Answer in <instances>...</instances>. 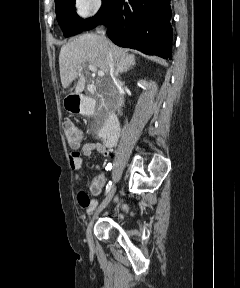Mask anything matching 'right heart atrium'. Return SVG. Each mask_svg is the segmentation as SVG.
Listing matches in <instances>:
<instances>
[{
    "mask_svg": "<svg viewBox=\"0 0 240 288\" xmlns=\"http://www.w3.org/2000/svg\"><path fill=\"white\" fill-rule=\"evenodd\" d=\"M101 0H75L74 7L78 16L81 18H87L96 14L100 7Z\"/></svg>",
    "mask_w": 240,
    "mask_h": 288,
    "instance_id": "1",
    "label": "right heart atrium"
}]
</instances>
